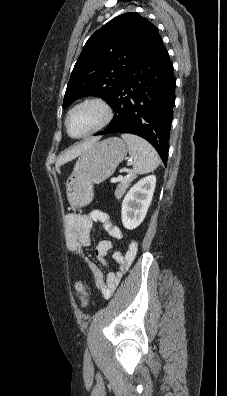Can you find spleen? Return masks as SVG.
Here are the masks:
<instances>
[{"mask_svg":"<svg viewBox=\"0 0 227 396\" xmlns=\"http://www.w3.org/2000/svg\"><path fill=\"white\" fill-rule=\"evenodd\" d=\"M121 137L128 145L135 173L146 174L154 171L159 166V156L153 146L146 140L133 134H122Z\"/></svg>","mask_w":227,"mask_h":396,"instance_id":"spleen-1","label":"spleen"}]
</instances>
